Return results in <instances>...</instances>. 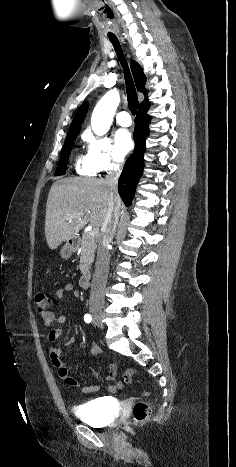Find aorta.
I'll return each instance as SVG.
<instances>
[{
	"label": "aorta",
	"instance_id": "obj_1",
	"mask_svg": "<svg viewBox=\"0 0 236 467\" xmlns=\"http://www.w3.org/2000/svg\"><path fill=\"white\" fill-rule=\"evenodd\" d=\"M119 103L120 95L116 90L108 91L97 103L91 117V127L96 135L102 136L109 131Z\"/></svg>",
	"mask_w": 236,
	"mask_h": 467
}]
</instances>
